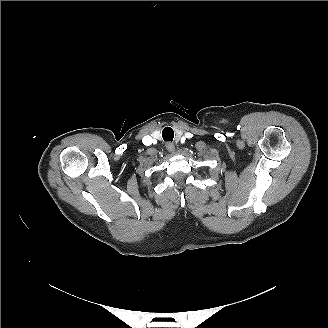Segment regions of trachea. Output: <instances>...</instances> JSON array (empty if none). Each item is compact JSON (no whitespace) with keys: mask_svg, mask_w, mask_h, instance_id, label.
I'll return each instance as SVG.
<instances>
[{"mask_svg":"<svg viewBox=\"0 0 328 328\" xmlns=\"http://www.w3.org/2000/svg\"><path fill=\"white\" fill-rule=\"evenodd\" d=\"M162 137L165 141H173L174 132L170 127H165L162 131Z\"/></svg>","mask_w":328,"mask_h":328,"instance_id":"obj_1","label":"trachea"}]
</instances>
